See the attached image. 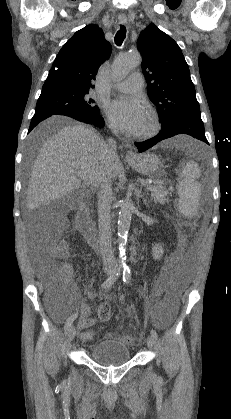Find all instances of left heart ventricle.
Masks as SVG:
<instances>
[{"instance_id": "left-heart-ventricle-1", "label": "left heart ventricle", "mask_w": 231, "mask_h": 419, "mask_svg": "<svg viewBox=\"0 0 231 419\" xmlns=\"http://www.w3.org/2000/svg\"><path fill=\"white\" fill-rule=\"evenodd\" d=\"M148 125H149V119H148V117H147V115L145 116V119H144V122H143V124H142V127H141V129H140V132L141 131H144L147 127H148Z\"/></svg>"}]
</instances>
